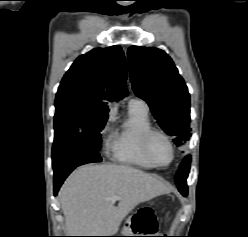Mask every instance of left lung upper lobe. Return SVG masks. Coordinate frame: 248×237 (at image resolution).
Here are the masks:
<instances>
[{"label":"left lung upper lobe","mask_w":248,"mask_h":237,"mask_svg":"<svg viewBox=\"0 0 248 237\" xmlns=\"http://www.w3.org/2000/svg\"><path fill=\"white\" fill-rule=\"evenodd\" d=\"M128 60L135 94L144 99L162 129L177 146L191 136L190 96L172 59L162 50L131 46ZM188 172L177 173L186 182Z\"/></svg>","instance_id":"1"}]
</instances>
